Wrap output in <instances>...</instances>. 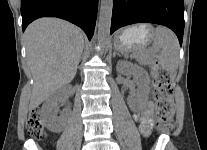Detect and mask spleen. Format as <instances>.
Returning <instances> with one entry per match:
<instances>
[{
	"instance_id": "obj_1",
	"label": "spleen",
	"mask_w": 207,
	"mask_h": 150,
	"mask_svg": "<svg viewBox=\"0 0 207 150\" xmlns=\"http://www.w3.org/2000/svg\"><path fill=\"white\" fill-rule=\"evenodd\" d=\"M153 36V47L160 51L157 59L161 67L167 71H175L179 59V42L176 35L169 28L158 26Z\"/></svg>"
}]
</instances>
